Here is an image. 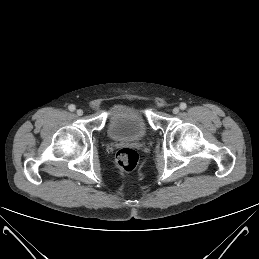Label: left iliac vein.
Masks as SVG:
<instances>
[{
  "label": "left iliac vein",
  "mask_w": 259,
  "mask_h": 259,
  "mask_svg": "<svg viewBox=\"0 0 259 259\" xmlns=\"http://www.w3.org/2000/svg\"><path fill=\"white\" fill-rule=\"evenodd\" d=\"M172 112H173L174 114H178V113H179V108H178V107H175V108L172 110Z\"/></svg>",
  "instance_id": "1"
}]
</instances>
